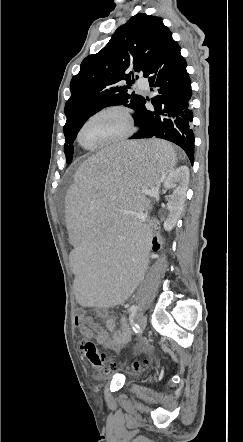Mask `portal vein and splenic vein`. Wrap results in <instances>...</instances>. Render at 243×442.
<instances>
[{
  "mask_svg": "<svg viewBox=\"0 0 243 442\" xmlns=\"http://www.w3.org/2000/svg\"><path fill=\"white\" fill-rule=\"evenodd\" d=\"M146 193L152 197H156L158 195V192L155 189L147 190Z\"/></svg>",
  "mask_w": 243,
  "mask_h": 442,
  "instance_id": "18ae733b",
  "label": "portal vein and splenic vein"
}]
</instances>
